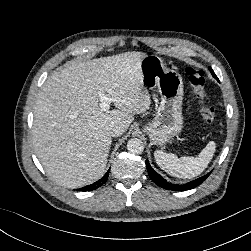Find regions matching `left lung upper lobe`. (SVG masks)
Wrapping results in <instances>:
<instances>
[{
  "label": "left lung upper lobe",
  "instance_id": "obj_1",
  "mask_svg": "<svg viewBox=\"0 0 251 251\" xmlns=\"http://www.w3.org/2000/svg\"><path fill=\"white\" fill-rule=\"evenodd\" d=\"M210 71L212 73V75L216 76L215 73L213 72V70L210 68Z\"/></svg>",
  "mask_w": 251,
  "mask_h": 251
}]
</instances>
